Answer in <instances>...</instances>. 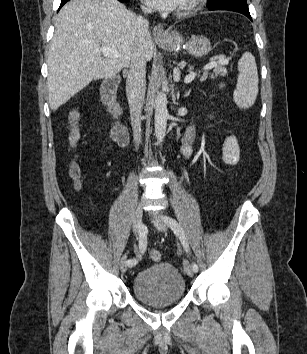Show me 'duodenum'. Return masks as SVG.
Segmentation results:
<instances>
[{"label":"duodenum","instance_id":"410a0bca","mask_svg":"<svg viewBox=\"0 0 307 354\" xmlns=\"http://www.w3.org/2000/svg\"><path fill=\"white\" fill-rule=\"evenodd\" d=\"M120 84L119 76L108 77L102 85L101 97L111 117V134L120 145H127L130 134L127 126L122 121V110L117 101V89Z\"/></svg>","mask_w":307,"mask_h":354}]
</instances>
